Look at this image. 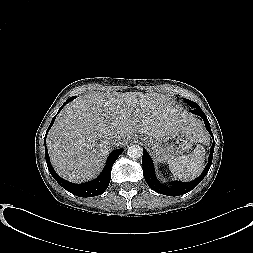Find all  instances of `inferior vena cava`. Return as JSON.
<instances>
[{"instance_id": "602c4592", "label": "inferior vena cava", "mask_w": 253, "mask_h": 253, "mask_svg": "<svg viewBox=\"0 0 253 253\" xmlns=\"http://www.w3.org/2000/svg\"><path fill=\"white\" fill-rule=\"evenodd\" d=\"M111 144L114 147H119L122 144V137L119 134H114L111 137Z\"/></svg>"}]
</instances>
